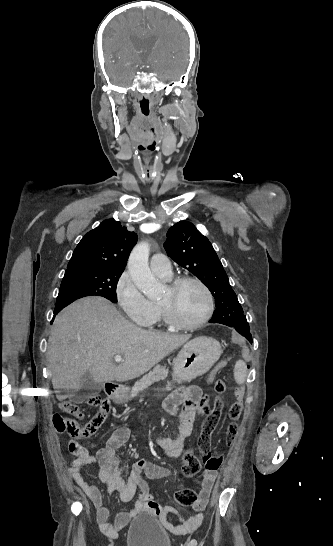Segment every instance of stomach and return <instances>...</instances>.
Returning a JSON list of instances; mask_svg holds the SVG:
<instances>
[{
	"label": "stomach",
	"mask_w": 333,
	"mask_h": 546,
	"mask_svg": "<svg viewBox=\"0 0 333 546\" xmlns=\"http://www.w3.org/2000/svg\"><path fill=\"white\" fill-rule=\"evenodd\" d=\"M222 353L220 343L212 337H195L182 347L174 360L173 380L181 383L190 382L198 376L208 372ZM168 383L166 389H170ZM114 400L124 402L128 400L127 390L119 389L114 393Z\"/></svg>",
	"instance_id": "obj_1"
}]
</instances>
